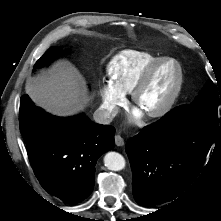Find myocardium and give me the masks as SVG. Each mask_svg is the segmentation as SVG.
Instances as JSON below:
<instances>
[{"label":"myocardium","mask_w":221,"mask_h":221,"mask_svg":"<svg viewBox=\"0 0 221 221\" xmlns=\"http://www.w3.org/2000/svg\"><path fill=\"white\" fill-rule=\"evenodd\" d=\"M172 62L176 66L177 80L175 87L170 97L157 108L144 111L145 114L152 118H158L166 115L176 104L184 86V70L181 63L172 57H162L154 61L145 71L139 82L136 84L132 91V101L136 106H139V100L142 93L150 84L156 70L164 63Z\"/></svg>","instance_id":"1"}]
</instances>
